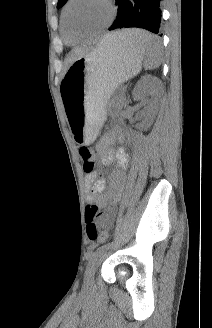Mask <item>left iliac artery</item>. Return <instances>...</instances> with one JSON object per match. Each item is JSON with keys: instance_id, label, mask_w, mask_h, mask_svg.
Segmentation results:
<instances>
[{"instance_id": "1", "label": "left iliac artery", "mask_w": 212, "mask_h": 328, "mask_svg": "<svg viewBox=\"0 0 212 328\" xmlns=\"http://www.w3.org/2000/svg\"><path fill=\"white\" fill-rule=\"evenodd\" d=\"M113 244V242H109L107 244L102 245L101 247L97 248L90 256L88 265H87V269H86V275L90 269V267L95 263V261L97 260V258L106 250L108 249L111 245Z\"/></svg>"}]
</instances>
